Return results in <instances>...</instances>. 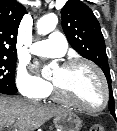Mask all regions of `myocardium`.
<instances>
[{"label": "myocardium", "instance_id": "f54148a6", "mask_svg": "<svg viewBox=\"0 0 117 131\" xmlns=\"http://www.w3.org/2000/svg\"><path fill=\"white\" fill-rule=\"evenodd\" d=\"M79 65L88 66L98 76V78L101 82V85H102V89H103L102 103L96 108L87 107V106L81 104L80 102L69 97L56 82L52 81L54 95L61 102L65 103L67 105L73 106V107H75V108H77L81 111L88 112V113L100 112L103 109H105V107L107 106L108 101H109V87H108L106 78H105L102 70L95 63H93L89 60H86V59H70V60L65 61L61 65V67L64 68V69H71V68L79 66Z\"/></svg>", "mask_w": 117, "mask_h": 131}]
</instances>
